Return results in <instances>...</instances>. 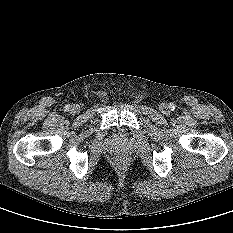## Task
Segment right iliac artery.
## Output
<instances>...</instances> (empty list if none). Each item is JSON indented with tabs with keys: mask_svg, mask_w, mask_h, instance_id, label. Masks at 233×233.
I'll return each instance as SVG.
<instances>
[{
	"mask_svg": "<svg viewBox=\"0 0 233 233\" xmlns=\"http://www.w3.org/2000/svg\"><path fill=\"white\" fill-rule=\"evenodd\" d=\"M64 109H65V111H69L71 109V107L69 104H67V105H65Z\"/></svg>",
	"mask_w": 233,
	"mask_h": 233,
	"instance_id": "82829eb1",
	"label": "right iliac artery"
}]
</instances>
